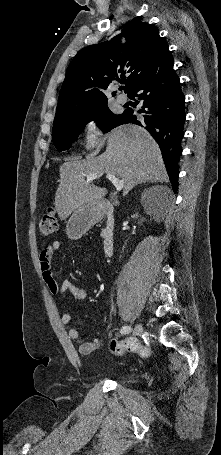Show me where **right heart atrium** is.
<instances>
[{"label":"right heart atrium","instance_id":"1","mask_svg":"<svg viewBox=\"0 0 221 455\" xmlns=\"http://www.w3.org/2000/svg\"><path fill=\"white\" fill-rule=\"evenodd\" d=\"M103 137V125L98 119H89L81 131V145L86 150H92L99 147Z\"/></svg>","mask_w":221,"mask_h":455}]
</instances>
